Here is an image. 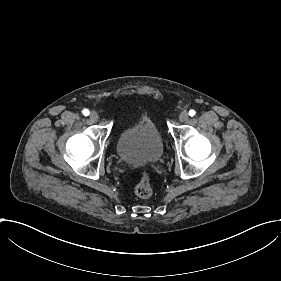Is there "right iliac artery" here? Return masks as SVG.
<instances>
[{"mask_svg": "<svg viewBox=\"0 0 281 281\" xmlns=\"http://www.w3.org/2000/svg\"><path fill=\"white\" fill-rule=\"evenodd\" d=\"M82 112L85 116H88L90 114L88 109H84Z\"/></svg>", "mask_w": 281, "mask_h": 281, "instance_id": "82829eb1", "label": "right iliac artery"}]
</instances>
